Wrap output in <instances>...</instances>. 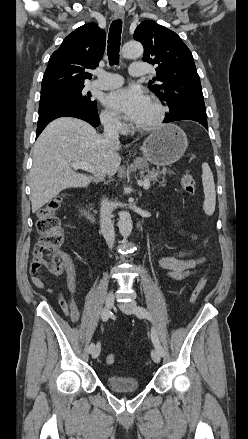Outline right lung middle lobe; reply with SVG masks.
<instances>
[{"mask_svg":"<svg viewBox=\"0 0 248 439\" xmlns=\"http://www.w3.org/2000/svg\"><path fill=\"white\" fill-rule=\"evenodd\" d=\"M83 88L84 86L41 95L39 115L65 107L96 109L97 102L92 100L90 93H85Z\"/></svg>","mask_w":248,"mask_h":439,"instance_id":"1","label":"right lung middle lobe"}]
</instances>
